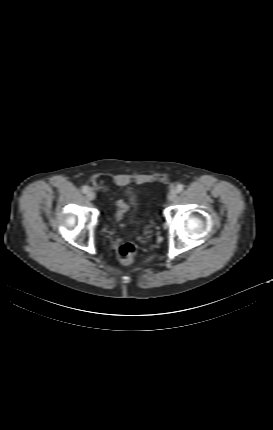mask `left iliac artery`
Returning a JSON list of instances; mask_svg holds the SVG:
<instances>
[{
	"label": "left iliac artery",
	"mask_w": 273,
	"mask_h": 430,
	"mask_svg": "<svg viewBox=\"0 0 273 430\" xmlns=\"http://www.w3.org/2000/svg\"><path fill=\"white\" fill-rule=\"evenodd\" d=\"M183 189H184V185L183 184H178L177 187H176V192L180 193V192L183 191Z\"/></svg>",
	"instance_id": "44dca946"
}]
</instances>
